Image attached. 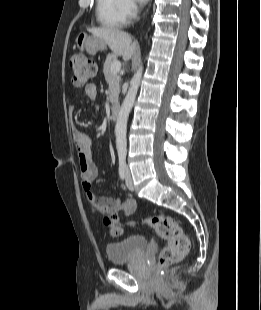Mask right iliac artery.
Returning a JSON list of instances; mask_svg holds the SVG:
<instances>
[{
	"instance_id": "right-iliac-artery-1",
	"label": "right iliac artery",
	"mask_w": 261,
	"mask_h": 310,
	"mask_svg": "<svg viewBox=\"0 0 261 310\" xmlns=\"http://www.w3.org/2000/svg\"><path fill=\"white\" fill-rule=\"evenodd\" d=\"M119 176L122 180L126 177V161L125 157H119Z\"/></svg>"
}]
</instances>
